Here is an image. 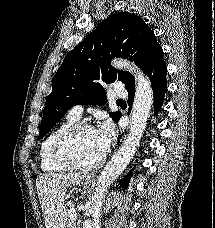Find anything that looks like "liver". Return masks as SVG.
<instances>
[{
	"label": "liver",
	"mask_w": 215,
	"mask_h": 228,
	"mask_svg": "<svg viewBox=\"0 0 215 228\" xmlns=\"http://www.w3.org/2000/svg\"><path fill=\"white\" fill-rule=\"evenodd\" d=\"M83 178L82 174H41L38 176L36 188L46 228H66V190L70 186H77Z\"/></svg>",
	"instance_id": "1"
}]
</instances>
